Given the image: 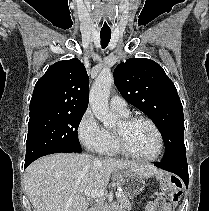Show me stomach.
<instances>
[{"mask_svg":"<svg viewBox=\"0 0 209 211\" xmlns=\"http://www.w3.org/2000/svg\"><path fill=\"white\" fill-rule=\"evenodd\" d=\"M119 185L128 197L133 198L145 188V181L139 175L124 170L119 174Z\"/></svg>","mask_w":209,"mask_h":211,"instance_id":"stomach-1","label":"stomach"}]
</instances>
